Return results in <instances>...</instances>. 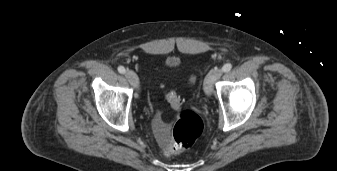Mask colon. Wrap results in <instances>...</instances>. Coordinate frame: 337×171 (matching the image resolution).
Masks as SVG:
<instances>
[{"instance_id": "5ec220e1", "label": "colon", "mask_w": 337, "mask_h": 171, "mask_svg": "<svg viewBox=\"0 0 337 171\" xmlns=\"http://www.w3.org/2000/svg\"><path fill=\"white\" fill-rule=\"evenodd\" d=\"M166 98L176 112V120L169 139L163 128H157V136L163 145L164 154L169 156L188 149L200 137L204 124L201 117L190 110L181 108V99L174 92H168Z\"/></svg>"}]
</instances>
